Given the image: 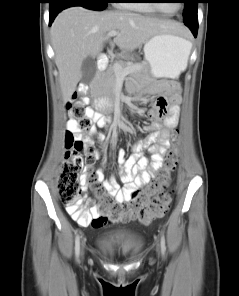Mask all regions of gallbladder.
I'll list each match as a JSON object with an SVG mask.
<instances>
[{
  "instance_id": "obj_1",
  "label": "gallbladder",
  "mask_w": 239,
  "mask_h": 296,
  "mask_svg": "<svg viewBox=\"0 0 239 296\" xmlns=\"http://www.w3.org/2000/svg\"><path fill=\"white\" fill-rule=\"evenodd\" d=\"M97 63L94 57L88 56L84 59L82 63V81L84 83H89L95 76Z\"/></svg>"
}]
</instances>
